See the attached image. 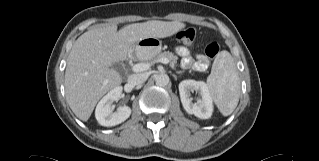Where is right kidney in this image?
Returning a JSON list of instances; mask_svg holds the SVG:
<instances>
[{
    "label": "right kidney",
    "instance_id": "1",
    "mask_svg": "<svg viewBox=\"0 0 319 161\" xmlns=\"http://www.w3.org/2000/svg\"><path fill=\"white\" fill-rule=\"evenodd\" d=\"M122 87H115L105 95L97 104L95 117L102 126L111 127L124 122L131 114V108L120 106L114 112L112 103L121 98Z\"/></svg>",
    "mask_w": 319,
    "mask_h": 161
}]
</instances>
